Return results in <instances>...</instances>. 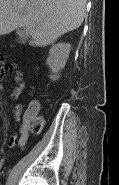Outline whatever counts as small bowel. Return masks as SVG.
Returning <instances> with one entry per match:
<instances>
[{
  "label": "small bowel",
  "mask_w": 119,
  "mask_h": 185,
  "mask_svg": "<svg viewBox=\"0 0 119 185\" xmlns=\"http://www.w3.org/2000/svg\"><path fill=\"white\" fill-rule=\"evenodd\" d=\"M15 64H7L1 62L0 79L3 80L7 73L15 68ZM15 85L11 91L10 97L12 99H18L22 94L25 84L23 80V72L21 70L16 71ZM39 110L38 103H31L26 112L23 114V108L21 105H16L13 111L14 117L17 121H21L18 130L11 136L9 145L11 147L19 146L23 148L29 137V115H37Z\"/></svg>",
  "instance_id": "obj_1"
}]
</instances>
